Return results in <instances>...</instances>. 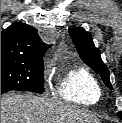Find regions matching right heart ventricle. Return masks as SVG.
<instances>
[{
  "label": "right heart ventricle",
  "mask_w": 122,
  "mask_h": 123,
  "mask_svg": "<svg viewBox=\"0 0 122 123\" xmlns=\"http://www.w3.org/2000/svg\"><path fill=\"white\" fill-rule=\"evenodd\" d=\"M56 95L70 103L91 106L100 100L102 91L96 77L79 66L69 68L59 76Z\"/></svg>",
  "instance_id": "1"
}]
</instances>
